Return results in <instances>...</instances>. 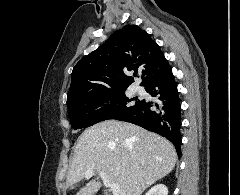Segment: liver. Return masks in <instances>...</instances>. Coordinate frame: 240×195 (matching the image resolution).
<instances>
[{
  "label": "liver",
  "mask_w": 240,
  "mask_h": 195,
  "mask_svg": "<svg viewBox=\"0 0 240 195\" xmlns=\"http://www.w3.org/2000/svg\"><path fill=\"white\" fill-rule=\"evenodd\" d=\"M176 159L169 139L134 123L106 119L79 135L66 187L84 179L85 171L95 169L93 175L98 173L110 183H119V195H140L170 173ZM101 185L99 177H94L75 195H95Z\"/></svg>",
  "instance_id": "liver-1"
}]
</instances>
